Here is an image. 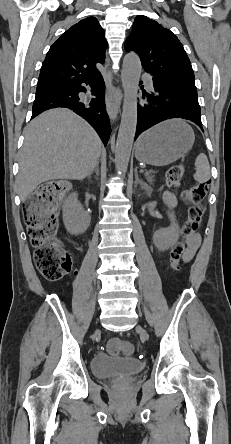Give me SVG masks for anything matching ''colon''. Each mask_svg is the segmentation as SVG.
<instances>
[{
	"label": "colon",
	"instance_id": "colon-1",
	"mask_svg": "<svg viewBox=\"0 0 231 444\" xmlns=\"http://www.w3.org/2000/svg\"><path fill=\"white\" fill-rule=\"evenodd\" d=\"M185 175V167L181 164L171 166L166 173L168 187L178 188ZM68 184L62 181H49L40 186L26 201L24 219L28 234L35 248L34 260L42 276L49 281H57L68 274L73 268L70 252L55 240L58 227L57 208ZM208 192L206 183L182 192V200L188 204V217L182 228V239L170 251L173 267L179 269L185 242L196 232L205 212L204 198ZM130 346L120 338H113L108 343V350L119 355Z\"/></svg>",
	"mask_w": 231,
	"mask_h": 444
}]
</instances>
